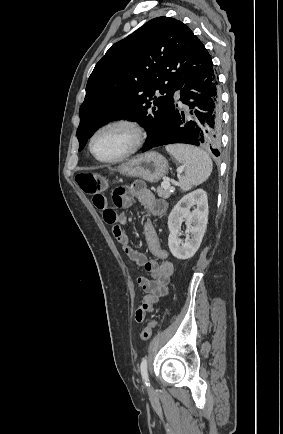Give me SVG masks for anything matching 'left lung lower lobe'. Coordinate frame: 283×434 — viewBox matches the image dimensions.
I'll return each mask as SVG.
<instances>
[{
  "instance_id": "1",
  "label": "left lung lower lobe",
  "mask_w": 283,
  "mask_h": 434,
  "mask_svg": "<svg viewBox=\"0 0 283 434\" xmlns=\"http://www.w3.org/2000/svg\"><path fill=\"white\" fill-rule=\"evenodd\" d=\"M180 101L188 106L183 111L174 105L173 113L153 147L185 143L210 148L219 156L221 137V93L213 64L190 79L180 90Z\"/></svg>"
}]
</instances>
